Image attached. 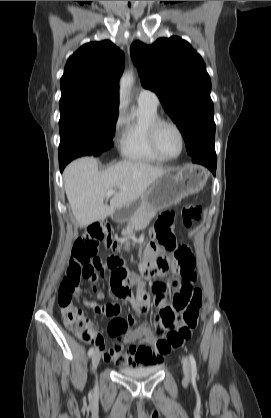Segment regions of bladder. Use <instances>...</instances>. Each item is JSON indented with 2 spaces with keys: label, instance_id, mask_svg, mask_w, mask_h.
Masks as SVG:
<instances>
[{
  "label": "bladder",
  "instance_id": "obj_1",
  "mask_svg": "<svg viewBox=\"0 0 271 418\" xmlns=\"http://www.w3.org/2000/svg\"><path fill=\"white\" fill-rule=\"evenodd\" d=\"M161 369V364L146 365L140 367H121L119 371L131 378L143 379L149 377Z\"/></svg>",
  "mask_w": 271,
  "mask_h": 418
}]
</instances>
